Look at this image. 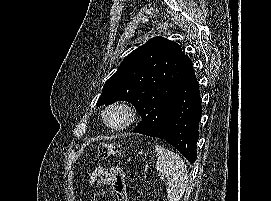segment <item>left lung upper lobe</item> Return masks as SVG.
<instances>
[{
    "label": "left lung upper lobe",
    "mask_w": 271,
    "mask_h": 201,
    "mask_svg": "<svg viewBox=\"0 0 271 201\" xmlns=\"http://www.w3.org/2000/svg\"><path fill=\"white\" fill-rule=\"evenodd\" d=\"M187 55L180 45L154 37L135 49L105 83L97 106L128 101L140 114L145 135L163 128L171 100L183 80Z\"/></svg>",
    "instance_id": "1"
}]
</instances>
